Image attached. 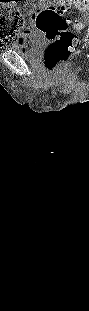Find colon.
Wrapping results in <instances>:
<instances>
[{"instance_id": "1", "label": "colon", "mask_w": 89, "mask_h": 311, "mask_svg": "<svg viewBox=\"0 0 89 311\" xmlns=\"http://www.w3.org/2000/svg\"><path fill=\"white\" fill-rule=\"evenodd\" d=\"M70 6L78 11L87 12L89 0H52L48 6L38 12L35 19L37 30L44 33L49 40L44 61L50 71L58 70L71 55L79 48L80 42L77 34L69 29V25L79 31L84 27L81 19L67 17ZM23 24L20 12L11 5L0 10L1 31H17Z\"/></svg>"}]
</instances>
